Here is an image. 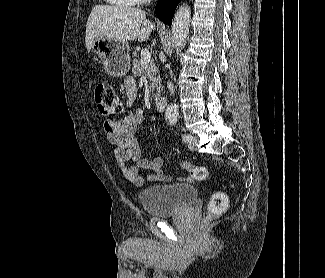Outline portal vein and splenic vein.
<instances>
[{
    "mask_svg": "<svg viewBox=\"0 0 325 278\" xmlns=\"http://www.w3.org/2000/svg\"><path fill=\"white\" fill-rule=\"evenodd\" d=\"M151 60V53L147 49L141 50V62L144 64L149 63Z\"/></svg>",
    "mask_w": 325,
    "mask_h": 278,
    "instance_id": "obj_1",
    "label": "portal vein and splenic vein"
}]
</instances>
